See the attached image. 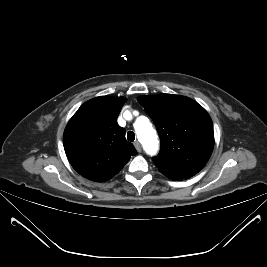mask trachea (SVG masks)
Returning a JSON list of instances; mask_svg holds the SVG:
<instances>
[{
  "label": "trachea",
  "mask_w": 267,
  "mask_h": 267,
  "mask_svg": "<svg viewBox=\"0 0 267 267\" xmlns=\"http://www.w3.org/2000/svg\"><path fill=\"white\" fill-rule=\"evenodd\" d=\"M127 140L130 141V142H133L135 140V133L132 132V131H129L127 133Z\"/></svg>",
  "instance_id": "3493384b"
}]
</instances>
